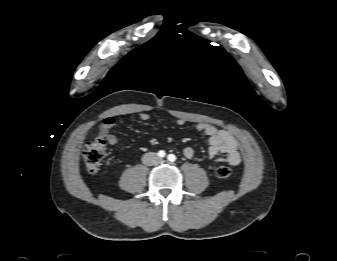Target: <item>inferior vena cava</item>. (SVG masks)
<instances>
[{
	"label": "inferior vena cava",
	"mask_w": 337,
	"mask_h": 261,
	"mask_svg": "<svg viewBox=\"0 0 337 261\" xmlns=\"http://www.w3.org/2000/svg\"><path fill=\"white\" fill-rule=\"evenodd\" d=\"M142 162L147 166H152L161 163L162 159L158 157L156 153L148 152L143 155Z\"/></svg>",
	"instance_id": "602c4592"
}]
</instances>
